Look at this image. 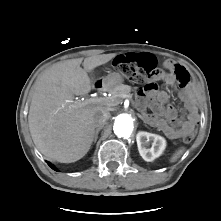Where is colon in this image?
<instances>
[{"label":"colon","mask_w":221,"mask_h":221,"mask_svg":"<svg viewBox=\"0 0 221 221\" xmlns=\"http://www.w3.org/2000/svg\"><path fill=\"white\" fill-rule=\"evenodd\" d=\"M116 69L122 73L129 81L140 83L146 82V88L152 89L154 87V80L159 77L160 72L157 70V61L154 56L147 53H142L134 60L129 56L118 57L116 59ZM178 89H183L187 86V81L172 82ZM195 136V129H187L182 139L185 142H190Z\"/></svg>","instance_id":"obj_1"}]
</instances>
